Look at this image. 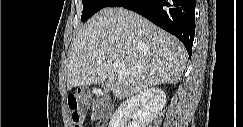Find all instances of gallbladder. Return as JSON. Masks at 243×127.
I'll use <instances>...</instances> for the list:
<instances>
[{
  "instance_id": "obj_1",
  "label": "gallbladder",
  "mask_w": 243,
  "mask_h": 127,
  "mask_svg": "<svg viewBox=\"0 0 243 127\" xmlns=\"http://www.w3.org/2000/svg\"><path fill=\"white\" fill-rule=\"evenodd\" d=\"M108 89V86H107V83L104 84V91H107Z\"/></svg>"
}]
</instances>
